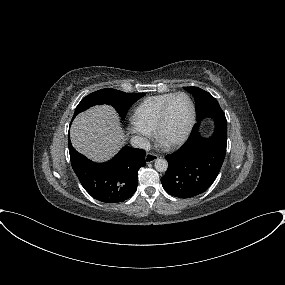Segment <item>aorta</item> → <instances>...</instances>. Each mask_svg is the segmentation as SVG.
Masks as SVG:
<instances>
[{
	"instance_id": "1",
	"label": "aorta",
	"mask_w": 285,
	"mask_h": 285,
	"mask_svg": "<svg viewBox=\"0 0 285 285\" xmlns=\"http://www.w3.org/2000/svg\"><path fill=\"white\" fill-rule=\"evenodd\" d=\"M154 166L158 172H165L168 169V162L165 159L158 158L155 160Z\"/></svg>"
}]
</instances>
